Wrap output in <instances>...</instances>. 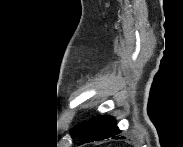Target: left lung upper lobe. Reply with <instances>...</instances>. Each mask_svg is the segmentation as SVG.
Segmentation results:
<instances>
[{
  "mask_svg": "<svg viewBox=\"0 0 183 147\" xmlns=\"http://www.w3.org/2000/svg\"><path fill=\"white\" fill-rule=\"evenodd\" d=\"M81 126H82V125L76 127L75 129H73V130L71 131V135H72L73 138H74V137L76 136V134L79 132Z\"/></svg>",
  "mask_w": 183,
  "mask_h": 147,
  "instance_id": "left-lung-upper-lobe-1",
  "label": "left lung upper lobe"
}]
</instances>
